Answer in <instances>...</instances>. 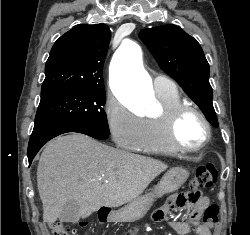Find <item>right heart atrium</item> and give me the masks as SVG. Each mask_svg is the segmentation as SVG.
Here are the masks:
<instances>
[{
    "instance_id": "right-heart-atrium-1",
    "label": "right heart atrium",
    "mask_w": 250,
    "mask_h": 235,
    "mask_svg": "<svg viewBox=\"0 0 250 235\" xmlns=\"http://www.w3.org/2000/svg\"><path fill=\"white\" fill-rule=\"evenodd\" d=\"M105 117L110 134L117 145L136 150L144 135L143 118L110 96L105 106Z\"/></svg>"
}]
</instances>
